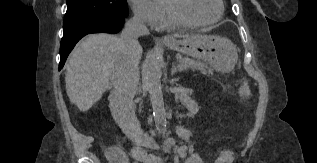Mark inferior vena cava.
<instances>
[{"instance_id":"obj_1","label":"inferior vena cava","mask_w":317,"mask_h":163,"mask_svg":"<svg viewBox=\"0 0 317 163\" xmlns=\"http://www.w3.org/2000/svg\"><path fill=\"white\" fill-rule=\"evenodd\" d=\"M147 34L149 30L140 15L135 14L127 21L119 40L121 57L111 79L113 90L109 100L112 115L125 135L133 141L143 135L133 99L139 82V60L136 57L138 37Z\"/></svg>"}]
</instances>
